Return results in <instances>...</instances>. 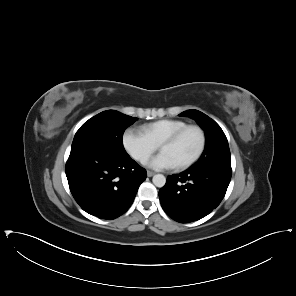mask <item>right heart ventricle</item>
Masks as SVG:
<instances>
[{
    "label": "right heart ventricle",
    "instance_id": "e07e8e85",
    "mask_svg": "<svg viewBox=\"0 0 296 296\" xmlns=\"http://www.w3.org/2000/svg\"><path fill=\"white\" fill-rule=\"evenodd\" d=\"M188 124L180 120H160L145 128L146 135L158 147L162 146L171 136L181 131Z\"/></svg>",
    "mask_w": 296,
    "mask_h": 296
}]
</instances>
